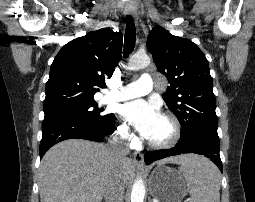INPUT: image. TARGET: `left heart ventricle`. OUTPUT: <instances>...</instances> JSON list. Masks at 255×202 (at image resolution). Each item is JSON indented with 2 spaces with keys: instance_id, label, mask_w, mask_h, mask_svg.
Masks as SVG:
<instances>
[{
  "instance_id": "1",
  "label": "left heart ventricle",
  "mask_w": 255,
  "mask_h": 202,
  "mask_svg": "<svg viewBox=\"0 0 255 202\" xmlns=\"http://www.w3.org/2000/svg\"><path fill=\"white\" fill-rule=\"evenodd\" d=\"M171 135V126L169 122L163 117H159L156 124L152 128L150 134L147 139L153 141H163L170 137Z\"/></svg>"
}]
</instances>
